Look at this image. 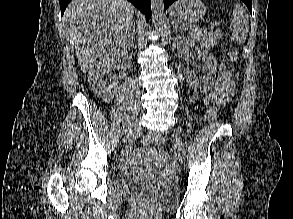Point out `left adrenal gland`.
Here are the masks:
<instances>
[{
  "label": "left adrenal gland",
  "mask_w": 293,
  "mask_h": 219,
  "mask_svg": "<svg viewBox=\"0 0 293 219\" xmlns=\"http://www.w3.org/2000/svg\"><path fill=\"white\" fill-rule=\"evenodd\" d=\"M172 25H173V30L177 31V29L179 28V24L176 21H172Z\"/></svg>",
  "instance_id": "left-adrenal-gland-1"
}]
</instances>
